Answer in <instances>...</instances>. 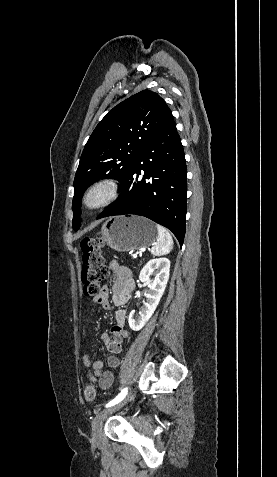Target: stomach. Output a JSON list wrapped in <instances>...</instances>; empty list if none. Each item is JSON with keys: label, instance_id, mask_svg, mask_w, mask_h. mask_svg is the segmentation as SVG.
<instances>
[{"label": "stomach", "instance_id": "0dacf381", "mask_svg": "<svg viewBox=\"0 0 277 477\" xmlns=\"http://www.w3.org/2000/svg\"><path fill=\"white\" fill-rule=\"evenodd\" d=\"M101 236L111 249L118 252L147 248L158 238L154 223L136 215L109 218L101 228Z\"/></svg>", "mask_w": 277, "mask_h": 477}]
</instances>
